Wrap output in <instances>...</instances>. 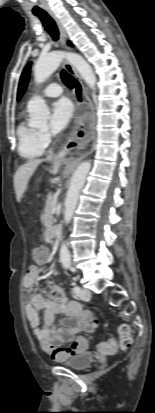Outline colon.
I'll use <instances>...</instances> for the list:
<instances>
[{
    "mask_svg": "<svg viewBox=\"0 0 155 413\" xmlns=\"http://www.w3.org/2000/svg\"><path fill=\"white\" fill-rule=\"evenodd\" d=\"M32 257L36 262L44 263L48 258L47 250L43 247L34 248L32 251ZM119 333H120V347L123 350L129 349L133 342L129 326L126 324L120 325ZM81 340L82 338L78 339L77 341H75L72 345H70L67 348H61L53 344H47L45 346V350L55 360H59L61 355L73 352L78 347ZM99 350L100 352L104 354L114 353L117 350L116 343L112 339L102 342L99 344Z\"/></svg>",
    "mask_w": 155,
    "mask_h": 413,
    "instance_id": "5ec220e1",
    "label": "colon"
}]
</instances>
